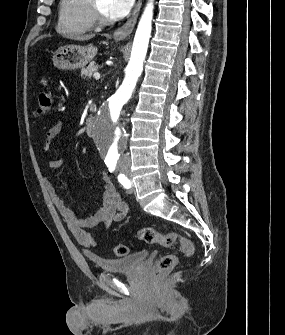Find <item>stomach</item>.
Instances as JSON below:
<instances>
[{
	"instance_id": "stomach-1",
	"label": "stomach",
	"mask_w": 285,
	"mask_h": 335,
	"mask_svg": "<svg viewBox=\"0 0 285 335\" xmlns=\"http://www.w3.org/2000/svg\"><path fill=\"white\" fill-rule=\"evenodd\" d=\"M98 48L89 44V46H63L54 52L53 64L59 70H76L83 68L88 62L94 60Z\"/></svg>"
}]
</instances>
